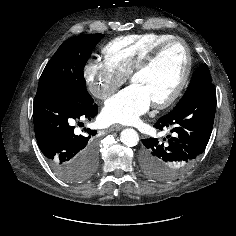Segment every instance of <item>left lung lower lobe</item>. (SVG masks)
<instances>
[{
  "label": "left lung lower lobe",
  "mask_w": 236,
  "mask_h": 236,
  "mask_svg": "<svg viewBox=\"0 0 236 236\" xmlns=\"http://www.w3.org/2000/svg\"><path fill=\"white\" fill-rule=\"evenodd\" d=\"M216 110V92L208 84L184 101L179 107L162 116L154 125L171 134L163 141L157 138L142 139L143 172L156 180H171L203 153L210 139Z\"/></svg>",
  "instance_id": "1"
}]
</instances>
